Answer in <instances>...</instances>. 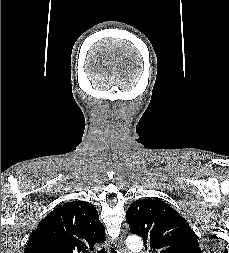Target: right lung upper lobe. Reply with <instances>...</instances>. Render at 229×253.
<instances>
[{"label":"right lung upper lobe","instance_id":"cb5924a9","mask_svg":"<svg viewBox=\"0 0 229 253\" xmlns=\"http://www.w3.org/2000/svg\"><path fill=\"white\" fill-rule=\"evenodd\" d=\"M105 241L94 206L73 201L58 206L32 231L24 253H89Z\"/></svg>","mask_w":229,"mask_h":253}]
</instances>
